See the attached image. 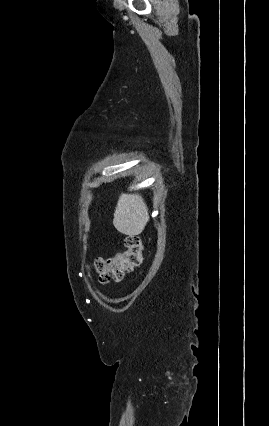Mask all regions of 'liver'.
I'll use <instances>...</instances> for the list:
<instances>
[{
	"mask_svg": "<svg viewBox=\"0 0 269 426\" xmlns=\"http://www.w3.org/2000/svg\"><path fill=\"white\" fill-rule=\"evenodd\" d=\"M148 221V208L142 196L122 193L113 218V225L117 231L128 236L139 235Z\"/></svg>",
	"mask_w": 269,
	"mask_h": 426,
	"instance_id": "1",
	"label": "liver"
}]
</instances>
